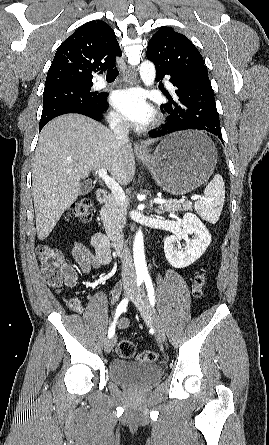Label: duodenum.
Returning a JSON list of instances; mask_svg holds the SVG:
<instances>
[{"label":"duodenum","instance_id":"1","mask_svg":"<svg viewBox=\"0 0 269 445\" xmlns=\"http://www.w3.org/2000/svg\"><path fill=\"white\" fill-rule=\"evenodd\" d=\"M96 197L99 202H104L108 198V192L105 189H98L96 192ZM112 247L117 255L122 256L124 254L123 241H120V240L113 241Z\"/></svg>","mask_w":269,"mask_h":445}]
</instances>
